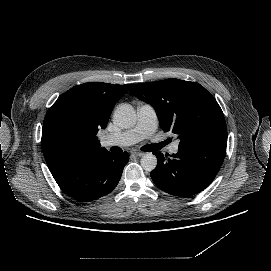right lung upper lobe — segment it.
Listing matches in <instances>:
<instances>
[{"mask_svg":"<svg viewBox=\"0 0 271 271\" xmlns=\"http://www.w3.org/2000/svg\"><path fill=\"white\" fill-rule=\"evenodd\" d=\"M131 86L88 82L57 99L47 111L42 128V150L49 169L78 154L107 151L100 147L97 132L106 128L116 101ZM65 122L76 131L75 139L68 144L56 138L57 127Z\"/></svg>","mask_w":271,"mask_h":271,"instance_id":"right-lung-upper-lobe-1","label":"right lung upper lobe"}]
</instances>
